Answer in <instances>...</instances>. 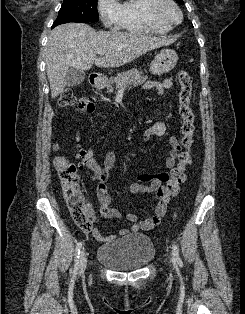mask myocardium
<instances>
[{
  "instance_id": "obj_1",
  "label": "myocardium",
  "mask_w": 245,
  "mask_h": 314,
  "mask_svg": "<svg viewBox=\"0 0 245 314\" xmlns=\"http://www.w3.org/2000/svg\"><path fill=\"white\" fill-rule=\"evenodd\" d=\"M167 8H173L178 13V21H174L167 15ZM149 14L154 20L171 27L180 24L183 20L182 11L174 0H155V2L149 7Z\"/></svg>"
}]
</instances>
